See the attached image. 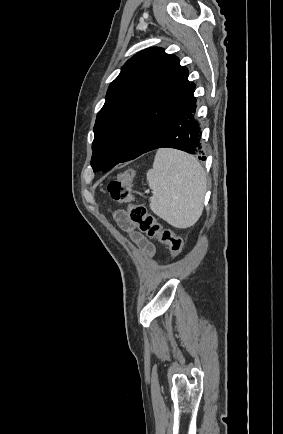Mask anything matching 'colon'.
Wrapping results in <instances>:
<instances>
[{"label": "colon", "mask_w": 283, "mask_h": 434, "mask_svg": "<svg viewBox=\"0 0 283 434\" xmlns=\"http://www.w3.org/2000/svg\"><path fill=\"white\" fill-rule=\"evenodd\" d=\"M134 171L128 169L108 184V192L111 198L120 203L128 204V218L137 228L151 238H157L159 242L168 246L172 258L178 257L183 250V239L170 229H164L151 216L145 206L134 201L131 189V181Z\"/></svg>", "instance_id": "5ec220e1"}]
</instances>
